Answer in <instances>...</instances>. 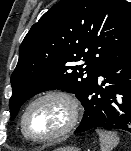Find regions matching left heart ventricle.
<instances>
[{
  "instance_id": "obj_1",
  "label": "left heart ventricle",
  "mask_w": 131,
  "mask_h": 151,
  "mask_svg": "<svg viewBox=\"0 0 131 151\" xmlns=\"http://www.w3.org/2000/svg\"><path fill=\"white\" fill-rule=\"evenodd\" d=\"M67 119L65 104L56 99H48L31 108L26 118V129L33 137H47L60 130Z\"/></svg>"
}]
</instances>
